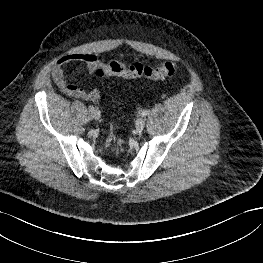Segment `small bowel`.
I'll list each match as a JSON object with an SVG mask.
<instances>
[{"instance_id": "obj_1", "label": "small bowel", "mask_w": 263, "mask_h": 263, "mask_svg": "<svg viewBox=\"0 0 263 263\" xmlns=\"http://www.w3.org/2000/svg\"><path fill=\"white\" fill-rule=\"evenodd\" d=\"M72 63H83L89 72L94 73L99 67L103 66V62L93 53H75L61 57L52 68V78L63 93L77 99L98 102L101 97L99 90H85L68 81L64 74V68Z\"/></svg>"}]
</instances>
